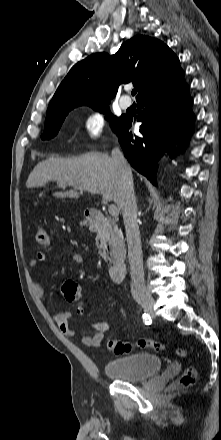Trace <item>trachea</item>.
I'll return each mask as SVG.
<instances>
[{
  "mask_svg": "<svg viewBox=\"0 0 221 440\" xmlns=\"http://www.w3.org/2000/svg\"><path fill=\"white\" fill-rule=\"evenodd\" d=\"M131 93L134 96L137 93V89H133Z\"/></svg>",
  "mask_w": 221,
  "mask_h": 440,
  "instance_id": "1",
  "label": "trachea"
}]
</instances>
